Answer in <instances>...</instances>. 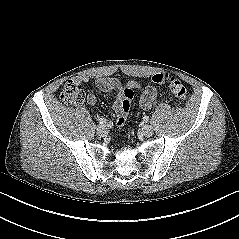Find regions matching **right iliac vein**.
<instances>
[{"label": "right iliac vein", "instance_id": "1", "mask_svg": "<svg viewBox=\"0 0 239 239\" xmlns=\"http://www.w3.org/2000/svg\"><path fill=\"white\" fill-rule=\"evenodd\" d=\"M96 130L97 134L101 137L108 134V127L106 125H99Z\"/></svg>", "mask_w": 239, "mask_h": 239}]
</instances>
